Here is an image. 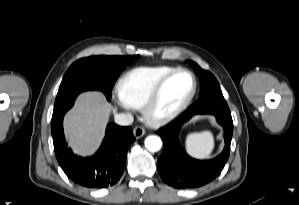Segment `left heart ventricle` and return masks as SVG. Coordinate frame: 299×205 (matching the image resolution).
Instances as JSON below:
<instances>
[{"label": "left heart ventricle", "mask_w": 299, "mask_h": 205, "mask_svg": "<svg viewBox=\"0 0 299 205\" xmlns=\"http://www.w3.org/2000/svg\"><path fill=\"white\" fill-rule=\"evenodd\" d=\"M192 81L189 75L179 74L165 87L159 104L158 111L164 112L177 107L189 94Z\"/></svg>", "instance_id": "1"}]
</instances>
